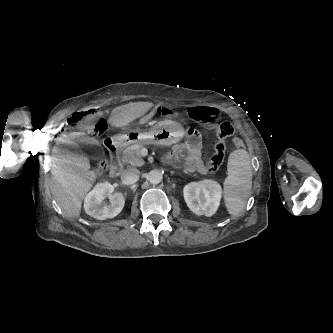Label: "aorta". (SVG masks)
Returning a JSON list of instances; mask_svg holds the SVG:
<instances>
[{
	"mask_svg": "<svg viewBox=\"0 0 333 333\" xmlns=\"http://www.w3.org/2000/svg\"><path fill=\"white\" fill-rule=\"evenodd\" d=\"M162 173L159 170H151L148 173V180L150 181V183L152 184H158L162 181Z\"/></svg>",
	"mask_w": 333,
	"mask_h": 333,
	"instance_id": "obj_1",
	"label": "aorta"
}]
</instances>
